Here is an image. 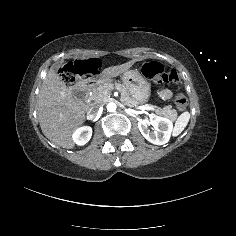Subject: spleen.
I'll list each match as a JSON object with an SVG mask.
<instances>
[{"label":"spleen","mask_w":236,"mask_h":236,"mask_svg":"<svg viewBox=\"0 0 236 236\" xmlns=\"http://www.w3.org/2000/svg\"><path fill=\"white\" fill-rule=\"evenodd\" d=\"M190 119L189 112H183L175 122L174 128L172 130V135L174 137L181 134V132L185 129Z\"/></svg>","instance_id":"spleen-1"}]
</instances>
